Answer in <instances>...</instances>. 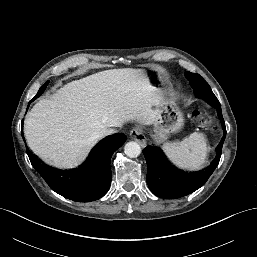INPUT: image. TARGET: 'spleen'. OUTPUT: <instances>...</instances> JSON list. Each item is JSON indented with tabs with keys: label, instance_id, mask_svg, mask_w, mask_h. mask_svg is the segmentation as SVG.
<instances>
[{
	"label": "spleen",
	"instance_id": "obj_1",
	"mask_svg": "<svg viewBox=\"0 0 257 257\" xmlns=\"http://www.w3.org/2000/svg\"><path fill=\"white\" fill-rule=\"evenodd\" d=\"M207 140L203 133L194 132L181 142H167L163 145L166 156L176 166L198 170L205 164L208 154Z\"/></svg>",
	"mask_w": 257,
	"mask_h": 257
}]
</instances>
